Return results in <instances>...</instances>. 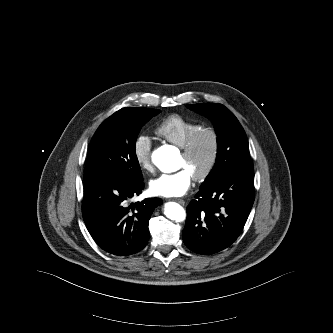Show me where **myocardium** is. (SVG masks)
<instances>
[{
	"label": "myocardium",
	"mask_w": 333,
	"mask_h": 333,
	"mask_svg": "<svg viewBox=\"0 0 333 333\" xmlns=\"http://www.w3.org/2000/svg\"><path fill=\"white\" fill-rule=\"evenodd\" d=\"M205 135L210 138V153L204 168L199 173L192 176L195 181L205 180L210 176V174L215 168L220 146L218 132L212 127H200L190 135V137L186 140L185 144L182 146V155L184 157H190L193 154L201 137Z\"/></svg>",
	"instance_id": "f54148a6"
}]
</instances>
